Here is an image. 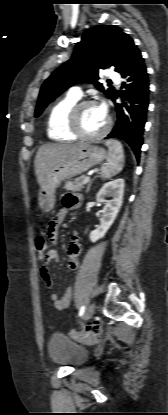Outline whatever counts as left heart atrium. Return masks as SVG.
<instances>
[{
    "label": "left heart atrium",
    "mask_w": 168,
    "mask_h": 415,
    "mask_svg": "<svg viewBox=\"0 0 168 415\" xmlns=\"http://www.w3.org/2000/svg\"><path fill=\"white\" fill-rule=\"evenodd\" d=\"M98 109L100 110V112L104 115L107 116V109L104 103L98 104Z\"/></svg>",
    "instance_id": "39dd6f15"
}]
</instances>
